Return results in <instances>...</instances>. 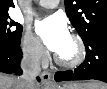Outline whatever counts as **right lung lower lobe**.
I'll list each match as a JSON object with an SVG mask.
<instances>
[{
	"instance_id": "98d812e1",
	"label": "right lung lower lobe",
	"mask_w": 107,
	"mask_h": 89,
	"mask_svg": "<svg viewBox=\"0 0 107 89\" xmlns=\"http://www.w3.org/2000/svg\"><path fill=\"white\" fill-rule=\"evenodd\" d=\"M21 59L22 52L20 45L15 48H11L0 43V72L7 74H22V70L20 68Z\"/></svg>"
}]
</instances>
